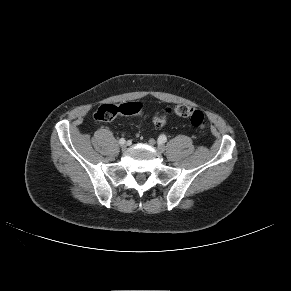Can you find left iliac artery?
Listing matches in <instances>:
<instances>
[{"label":"left iliac artery","mask_w":291,"mask_h":291,"mask_svg":"<svg viewBox=\"0 0 291 291\" xmlns=\"http://www.w3.org/2000/svg\"><path fill=\"white\" fill-rule=\"evenodd\" d=\"M158 141L160 143H165L167 141V138L165 135H160L159 138H158Z\"/></svg>","instance_id":"44dca946"}]
</instances>
